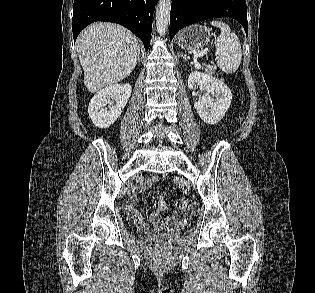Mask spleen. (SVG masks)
Instances as JSON below:
<instances>
[{"mask_svg": "<svg viewBox=\"0 0 315 293\" xmlns=\"http://www.w3.org/2000/svg\"><path fill=\"white\" fill-rule=\"evenodd\" d=\"M210 24L221 30L215 40L217 65L225 73L233 74L238 70L242 60L240 40L227 24L220 21H212Z\"/></svg>", "mask_w": 315, "mask_h": 293, "instance_id": "1", "label": "spleen"}]
</instances>
